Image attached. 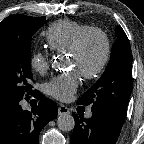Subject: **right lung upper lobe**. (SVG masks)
<instances>
[{"mask_svg": "<svg viewBox=\"0 0 144 144\" xmlns=\"http://www.w3.org/2000/svg\"><path fill=\"white\" fill-rule=\"evenodd\" d=\"M9 108L10 106L2 98H0V113L6 111Z\"/></svg>", "mask_w": 144, "mask_h": 144, "instance_id": "1", "label": "right lung upper lobe"}]
</instances>
